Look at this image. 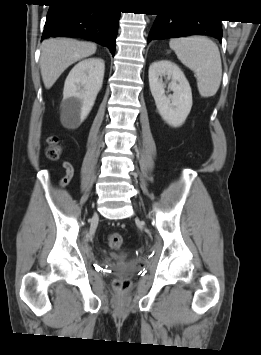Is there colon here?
<instances>
[{"label":"colon","mask_w":261,"mask_h":355,"mask_svg":"<svg viewBox=\"0 0 261 355\" xmlns=\"http://www.w3.org/2000/svg\"><path fill=\"white\" fill-rule=\"evenodd\" d=\"M59 155L60 147L57 145V140L56 138H51V145L46 150V157L50 160H56ZM72 175V172L68 170L65 177L61 179L60 185H66L70 181ZM107 243L111 249L117 250L122 246L123 238L119 233L113 232L107 236ZM115 286L121 291L126 290L129 287V281L127 279H119L115 282Z\"/></svg>","instance_id":"colon-1"}]
</instances>
